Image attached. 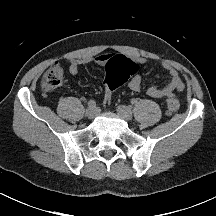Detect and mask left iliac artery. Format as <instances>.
<instances>
[{"label":"left iliac artery","instance_id":"obj_1","mask_svg":"<svg viewBox=\"0 0 216 216\" xmlns=\"http://www.w3.org/2000/svg\"><path fill=\"white\" fill-rule=\"evenodd\" d=\"M137 103V100L136 99H132L131 100V104H136Z\"/></svg>","mask_w":216,"mask_h":216}]
</instances>
